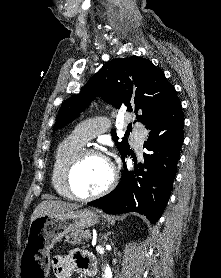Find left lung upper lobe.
Returning a JSON list of instances; mask_svg holds the SVG:
<instances>
[{
	"instance_id": "obj_1",
	"label": "left lung upper lobe",
	"mask_w": 221,
	"mask_h": 278,
	"mask_svg": "<svg viewBox=\"0 0 221 278\" xmlns=\"http://www.w3.org/2000/svg\"><path fill=\"white\" fill-rule=\"evenodd\" d=\"M95 96H102L116 108L125 105L129 112L133 111V99L134 111L140 114L137 121L144 125L156 122L179 99L174 86L150 60L137 56L119 58L105 63L78 95L63 103L53 130L72 122ZM111 134L121 157L127 154L128 140L118 141L114 130Z\"/></svg>"
}]
</instances>
